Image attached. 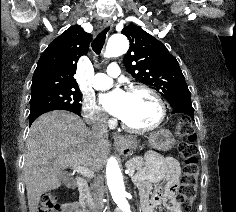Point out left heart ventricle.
I'll use <instances>...</instances> for the list:
<instances>
[{
    "label": "left heart ventricle",
    "mask_w": 236,
    "mask_h": 212,
    "mask_svg": "<svg viewBox=\"0 0 236 212\" xmlns=\"http://www.w3.org/2000/svg\"><path fill=\"white\" fill-rule=\"evenodd\" d=\"M159 115L155 99L144 91L127 94L125 113L121 118L128 125L143 128L151 125Z\"/></svg>",
    "instance_id": "left-heart-ventricle-1"
}]
</instances>
